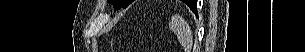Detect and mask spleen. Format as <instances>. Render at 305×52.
Segmentation results:
<instances>
[{"label": "spleen", "instance_id": "1", "mask_svg": "<svg viewBox=\"0 0 305 52\" xmlns=\"http://www.w3.org/2000/svg\"><path fill=\"white\" fill-rule=\"evenodd\" d=\"M171 25H172V29L176 32L177 37L179 39L181 35V26L183 25L182 20H180L179 18H173Z\"/></svg>", "mask_w": 305, "mask_h": 52}]
</instances>
